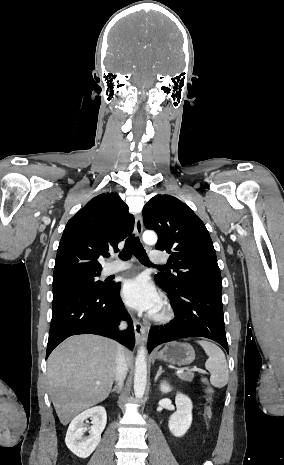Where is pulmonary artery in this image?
<instances>
[{"instance_id": "pulmonary-artery-1", "label": "pulmonary artery", "mask_w": 284, "mask_h": 465, "mask_svg": "<svg viewBox=\"0 0 284 465\" xmlns=\"http://www.w3.org/2000/svg\"><path fill=\"white\" fill-rule=\"evenodd\" d=\"M148 261L152 263H167L169 261V256L164 254L162 250H153L149 252ZM129 267L130 265L128 263L114 262L104 269V273L110 275L127 270Z\"/></svg>"}]
</instances>
